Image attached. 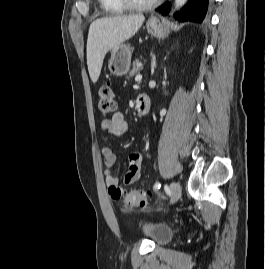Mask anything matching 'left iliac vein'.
I'll use <instances>...</instances> for the list:
<instances>
[{
	"label": "left iliac vein",
	"instance_id": "1",
	"mask_svg": "<svg viewBox=\"0 0 265 269\" xmlns=\"http://www.w3.org/2000/svg\"><path fill=\"white\" fill-rule=\"evenodd\" d=\"M170 203L174 204L175 202L178 201L181 195V187L179 183L177 182H172L170 185Z\"/></svg>",
	"mask_w": 265,
	"mask_h": 269
}]
</instances>
